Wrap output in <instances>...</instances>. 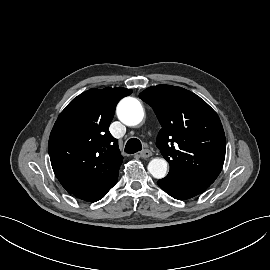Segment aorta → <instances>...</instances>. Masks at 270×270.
<instances>
[{
    "mask_svg": "<svg viewBox=\"0 0 270 270\" xmlns=\"http://www.w3.org/2000/svg\"><path fill=\"white\" fill-rule=\"evenodd\" d=\"M119 120L128 126L140 124L144 118L141 103L133 97H125L117 106ZM149 173L156 179H162L167 174V161L162 158L152 159L148 164Z\"/></svg>",
    "mask_w": 270,
    "mask_h": 270,
    "instance_id": "762f6f07",
    "label": "aorta"
}]
</instances>
